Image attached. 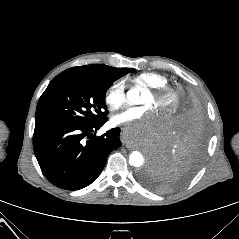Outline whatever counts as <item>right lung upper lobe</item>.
<instances>
[{
	"mask_svg": "<svg viewBox=\"0 0 239 239\" xmlns=\"http://www.w3.org/2000/svg\"><path fill=\"white\" fill-rule=\"evenodd\" d=\"M125 68H114L103 64H91L86 66L73 67L61 74H82V75H108L124 71Z\"/></svg>",
	"mask_w": 239,
	"mask_h": 239,
	"instance_id": "cb5924a9",
	"label": "right lung upper lobe"
}]
</instances>
